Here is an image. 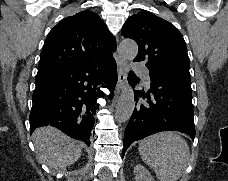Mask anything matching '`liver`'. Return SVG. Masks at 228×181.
<instances>
[{
	"label": "liver",
	"mask_w": 228,
	"mask_h": 181,
	"mask_svg": "<svg viewBox=\"0 0 228 181\" xmlns=\"http://www.w3.org/2000/svg\"><path fill=\"white\" fill-rule=\"evenodd\" d=\"M37 159L50 169H65L82 155V143L74 141L55 127H40L32 133Z\"/></svg>",
	"instance_id": "6515ba94"
}]
</instances>
